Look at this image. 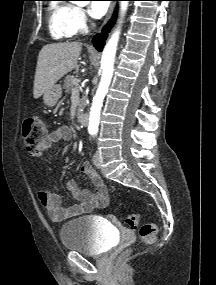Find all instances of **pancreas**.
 <instances>
[{
  "mask_svg": "<svg viewBox=\"0 0 216 285\" xmlns=\"http://www.w3.org/2000/svg\"><path fill=\"white\" fill-rule=\"evenodd\" d=\"M75 79L78 80L77 76H74V75H67L65 77L63 88L65 89L66 93H71L72 90L74 89L73 88L74 87V82L73 81ZM85 105H86V95L84 93V95H83V97L81 99V104H80V106L78 108V111H77L78 114L81 113V110L84 109Z\"/></svg>",
  "mask_w": 216,
  "mask_h": 285,
  "instance_id": "obj_1",
  "label": "pancreas"
}]
</instances>
